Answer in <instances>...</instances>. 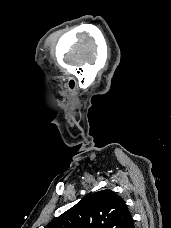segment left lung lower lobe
Returning a JSON list of instances; mask_svg holds the SVG:
<instances>
[{
	"label": "left lung lower lobe",
	"instance_id": "obj_1",
	"mask_svg": "<svg viewBox=\"0 0 171 228\" xmlns=\"http://www.w3.org/2000/svg\"><path fill=\"white\" fill-rule=\"evenodd\" d=\"M123 228H135L134 220H133L132 216L126 221Z\"/></svg>",
	"mask_w": 171,
	"mask_h": 228
}]
</instances>
